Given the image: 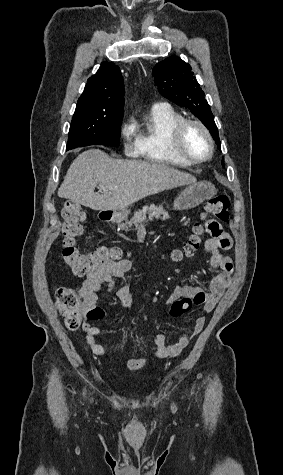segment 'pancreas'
I'll return each mask as SVG.
<instances>
[{"label": "pancreas", "mask_w": 283, "mask_h": 475, "mask_svg": "<svg viewBox=\"0 0 283 475\" xmlns=\"http://www.w3.org/2000/svg\"><path fill=\"white\" fill-rule=\"evenodd\" d=\"M147 212H150L149 214V220H152V218H156V220H169L170 216L166 210H164L163 206H154V204H151V206H145L143 210H139V212H135L131 222H125V224H121V228H128V226H132V224H135V226H138V224H141V222H145L147 220L146 216L144 214H147Z\"/></svg>", "instance_id": "pancreas-1"}]
</instances>
